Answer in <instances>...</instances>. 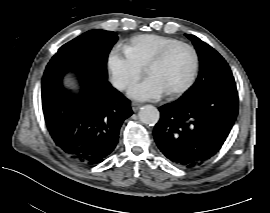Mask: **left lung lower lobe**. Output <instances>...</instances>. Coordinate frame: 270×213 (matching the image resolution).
<instances>
[{
	"label": "left lung lower lobe",
	"instance_id": "obj_1",
	"mask_svg": "<svg viewBox=\"0 0 270 213\" xmlns=\"http://www.w3.org/2000/svg\"><path fill=\"white\" fill-rule=\"evenodd\" d=\"M153 134L160 151L175 165L194 167L219 151L238 113L235 82L195 98L181 97L159 108Z\"/></svg>",
	"mask_w": 270,
	"mask_h": 213
}]
</instances>
